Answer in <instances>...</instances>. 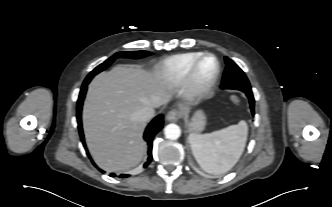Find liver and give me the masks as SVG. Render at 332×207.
Returning <instances> with one entry per match:
<instances>
[{
  "label": "liver",
  "mask_w": 332,
  "mask_h": 207,
  "mask_svg": "<svg viewBox=\"0 0 332 207\" xmlns=\"http://www.w3.org/2000/svg\"><path fill=\"white\" fill-rule=\"evenodd\" d=\"M171 86L159 71L118 65L97 75L89 85L83 107V128L96 164L107 172L137 165L145 153L146 123L135 113L158 107L171 98Z\"/></svg>",
  "instance_id": "6515ba94"
}]
</instances>
